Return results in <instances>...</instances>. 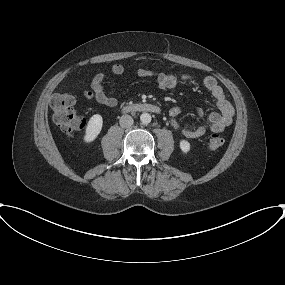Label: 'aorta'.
Here are the masks:
<instances>
[{
    "label": "aorta",
    "instance_id": "obj_1",
    "mask_svg": "<svg viewBox=\"0 0 285 285\" xmlns=\"http://www.w3.org/2000/svg\"><path fill=\"white\" fill-rule=\"evenodd\" d=\"M140 121L143 124H149L151 122V115L149 113H142L140 116Z\"/></svg>",
    "mask_w": 285,
    "mask_h": 285
}]
</instances>
